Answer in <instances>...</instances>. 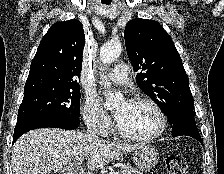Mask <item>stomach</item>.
<instances>
[{
  "label": "stomach",
  "instance_id": "obj_1",
  "mask_svg": "<svg viewBox=\"0 0 224 174\" xmlns=\"http://www.w3.org/2000/svg\"><path fill=\"white\" fill-rule=\"evenodd\" d=\"M133 161L139 170L148 171L157 165L159 152L152 145L140 144L133 152Z\"/></svg>",
  "mask_w": 224,
  "mask_h": 174
}]
</instances>
